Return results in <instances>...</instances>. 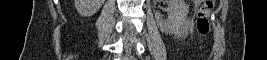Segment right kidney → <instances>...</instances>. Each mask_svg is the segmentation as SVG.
<instances>
[{
    "label": "right kidney",
    "instance_id": "obj_1",
    "mask_svg": "<svg viewBox=\"0 0 267 60\" xmlns=\"http://www.w3.org/2000/svg\"><path fill=\"white\" fill-rule=\"evenodd\" d=\"M74 3L81 16L90 17L99 11L104 0H74Z\"/></svg>",
    "mask_w": 267,
    "mask_h": 60
}]
</instances>
